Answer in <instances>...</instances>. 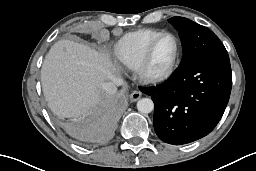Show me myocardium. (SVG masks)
Segmentation results:
<instances>
[{"mask_svg": "<svg viewBox=\"0 0 256 171\" xmlns=\"http://www.w3.org/2000/svg\"><path fill=\"white\" fill-rule=\"evenodd\" d=\"M167 36L172 37L175 41L176 49H175V54H174L173 60H172L171 64L169 65V67L166 70H164L163 72L151 73L149 71V63L151 60L153 50H154L155 46L157 45V43L162 38L167 37ZM180 52H181V47H180V42H179V39L177 38V36L171 32H162L161 34H159L158 36H156L154 39H152L149 42L137 67L135 68L139 79L146 84H157V83H161V82L167 80L168 78L171 77V75L174 73V71L177 68V65H178L179 59H180Z\"/></svg>", "mask_w": 256, "mask_h": 171, "instance_id": "1", "label": "myocardium"}]
</instances>
